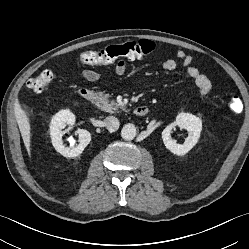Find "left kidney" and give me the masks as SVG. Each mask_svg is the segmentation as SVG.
<instances>
[{
    "label": "left kidney",
    "mask_w": 249,
    "mask_h": 249,
    "mask_svg": "<svg viewBox=\"0 0 249 249\" xmlns=\"http://www.w3.org/2000/svg\"><path fill=\"white\" fill-rule=\"evenodd\" d=\"M179 126L188 131V137L183 144H178L171 137L172 129ZM202 130V121L199 117L189 113H180L177 115L175 122L166 126L162 132V139L165 147L176 155H185L198 142Z\"/></svg>",
    "instance_id": "left-kidney-1"
}]
</instances>
